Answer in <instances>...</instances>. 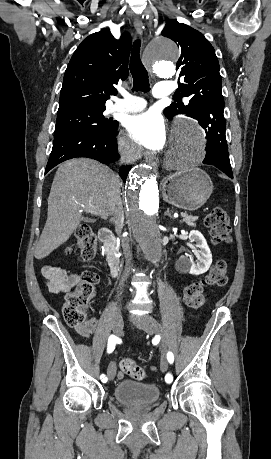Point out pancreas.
<instances>
[{
  "mask_svg": "<svg viewBox=\"0 0 271 459\" xmlns=\"http://www.w3.org/2000/svg\"><path fill=\"white\" fill-rule=\"evenodd\" d=\"M182 218H183V222H186L187 226H195L194 222H196V220H198V218H196V216H186V217L184 216Z\"/></svg>",
  "mask_w": 271,
  "mask_h": 459,
  "instance_id": "obj_1",
  "label": "pancreas"
}]
</instances>
